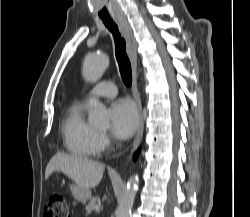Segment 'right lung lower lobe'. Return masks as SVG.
Returning <instances> with one entry per match:
<instances>
[{"label": "right lung lower lobe", "mask_w": 250, "mask_h": 217, "mask_svg": "<svg viewBox=\"0 0 250 217\" xmlns=\"http://www.w3.org/2000/svg\"><path fill=\"white\" fill-rule=\"evenodd\" d=\"M138 154H139V150H138V151L135 153V155H134V159H135V160L137 159Z\"/></svg>", "instance_id": "right-lung-lower-lobe-1"}]
</instances>
